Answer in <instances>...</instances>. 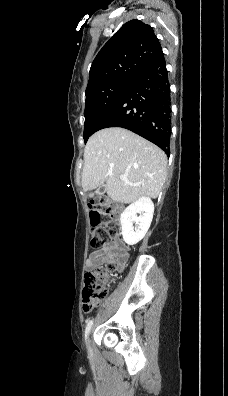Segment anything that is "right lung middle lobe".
I'll list each match as a JSON object with an SVG mask.
<instances>
[{
	"label": "right lung middle lobe",
	"instance_id": "dd1d6c3e",
	"mask_svg": "<svg viewBox=\"0 0 228 396\" xmlns=\"http://www.w3.org/2000/svg\"><path fill=\"white\" fill-rule=\"evenodd\" d=\"M130 83L113 82L85 92L84 141L96 132V127L104 115L114 106Z\"/></svg>",
	"mask_w": 228,
	"mask_h": 396
}]
</instances>
